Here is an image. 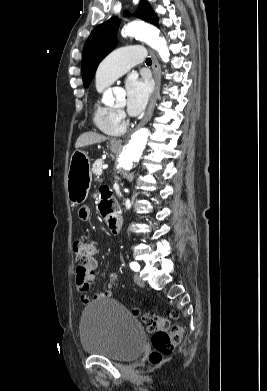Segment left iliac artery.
Instances as JSON below:
<instances>
[{
  "label": "left iliac artery",
  "instance_id": "44dca946",
  "mask_svg": "<svg viewBox=\"0 0 267 391\" xmlns=\"http://www.w3.org/2000/svg\"><path fill=\"white\" fill-rule=\"evenodd\" d=\"M130 268H131L132 270L136 271V272L140 270V266H139V264L136 263V262H131V263H130Z\"/></svg>",
  "mask_w": 267,
  "mask_h": 391
}]
</instances>
